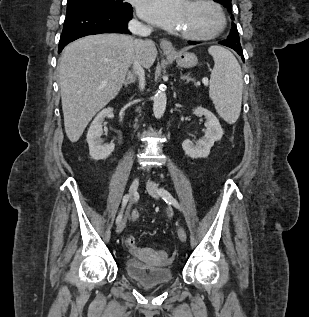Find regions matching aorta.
Masks as SVG:
<instances>
[{
	"label": "aorta",
	"instance_id": "aorta-1",
	"mask_svg": "<svg viewBox=\"0 0 309 317\" xmlns=\"http://www.w3.org/2000/svg\"><path fill=\"white\" fill-rule=\"evenodd\" d=\"M167 97L163 87H160L154 96L153 113L155 118L163 116L166 109Z\"/></svg>",
	"mask_w": 309,
	"mask_h": 317
}]
</instances>
